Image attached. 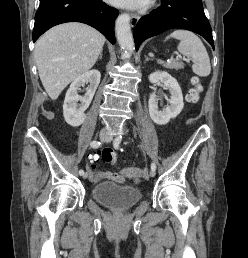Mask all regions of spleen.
<instances>
[{
	"label": "spleen",
	"instance_id": "obj_1",
	"mask_svg": "<svg viewBox=\"0 0 248 258\" xmlns=\"http://www.w3.org/2000/svg\"><path fill=\"white\" fill-rule=\"evenodd\" d=\"M176 38L180 40L178 51L193 60L192 70L201 77H206L211 72L209 55L201 39L188 30H175L165 40Z\"/></svg>",
	"mask_w": 248,
	"mask_h": 258
}]
</instances>
